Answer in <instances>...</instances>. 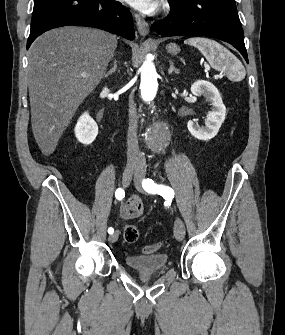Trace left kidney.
Returning <instances> with one entry per match:
<instances>
[{
    "mask_svg": "<svg viewBox=\"0 0 285 335\" xmlns=\"http://www.w3.org/2000/svg\"><path fill=\"white\" fill-rule=\"evenodd\" d=\"M191 92L193 96H206L211 100L210 106H213L212 112H208V116L205 120L206 128H199L195 126L194 122H188L187 128L197 140H211L215 138L216 134L221 128L225 116L226 108L222 102V98L215 86L211 82H206V80H197L191 86Z\"/></svg>",
    "mask_w": 285,
    "mask_h": 335,
    "instance_id": "left-kidney-1",
    "label": "left kidney"
}]
</instances>
